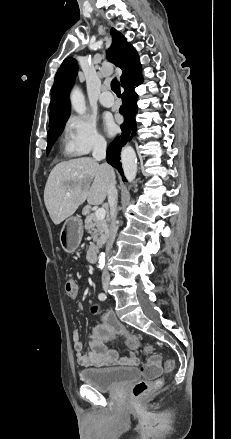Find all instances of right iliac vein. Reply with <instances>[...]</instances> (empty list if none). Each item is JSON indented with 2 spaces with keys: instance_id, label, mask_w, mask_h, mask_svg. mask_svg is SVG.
<instances>
[{
  "instance_id": "obj_1",
  "label": "right iliac vein",
  "mask_w": 231,
  "mask_h": 439,
  "mask_svg": "<svg viewBox=\"0 0 231 439\" xmlns=\"http://www.w3.org/2000/svg\"><path fill=\"white\" fill-rule=\"evenodd\" d=\"M104 290L107 291L108 290V285L104 286Z\"/></svg>"
}]
</instances>
